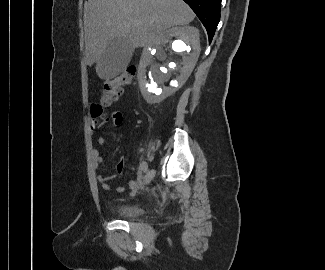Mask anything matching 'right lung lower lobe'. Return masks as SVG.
Here are the masks:
<instances>
[{
  "mask_svg": "<svg viewBox=\"0 0 325 270\" xmlns=\"http://www.w3.org/2000/svg\"><path fill=\"white\" fill-rule=\"evenodd\" d=\"M205 26L211 42L220 20L221 0H184Z\"/></svg>",
  "mask_w": 325,
  "mask_h": 270,
  "instance_id": "1",
  "label": "right lung lower lobe"
}]
</instances>
